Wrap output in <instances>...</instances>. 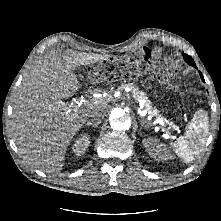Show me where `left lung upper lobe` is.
<instances>
[{
    "label": "left lung upper lobe",
    "mask_w": 221,
    "mask_h": 221,
    "mask_svg": "<svg viewBox=\"0 0 221 221\" xmlns=\"http://www.w3.org/2000/svg\"><path fill=\"white\" fill-rule=\"evenodd\" d=\"M184 56V59L185 61L189 64V65H192L194 66L195 65V62L194 60L187 54L183 55Z\"/></svg>",
    "instance_id": "obj_1"
}]
</instances>
